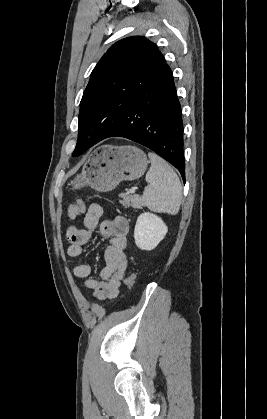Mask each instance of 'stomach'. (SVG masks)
<instances>
[{
	"mask_svg": "<svg viewBox=\"0 0 267 419\" xmlns=\"http://www.w3.org/2000/svg\"><path fill=\"white\" fill-rule=\"evenodd\" d=\"M148 163L144 151L136 146L102 145L90 153L71 185L73 189L90 186L96 191L108 192L123 180L140 178Z\"/></svg>",
	"mask_w": 267,
	"mask_h": 419,
	"instance_id": "stomach-1",
	"label": "stomach"
}]
</instances>
